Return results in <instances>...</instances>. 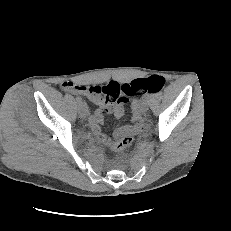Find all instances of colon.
<instances>
[{"label": "colon", "mask_w": 231, "mask_h": 231, "mask_svg": "<svg viewBox=\"0 0 231 231\" xmlns=\"http://www.w3.org/2000/svg\"><path fill=\"white\" fill-rule=\"evenodd\" d=\"M165 85V79L160 75H152L148 78H138L126 84H109L107 87L108 97L117 100L121 97L129 99L130 97L140 95L146 92H161ZM134 137L131 131L124 133L114 143L110 145V150L120 152L129 148L133 143Z\"/></svg>", "instance_id": "colon-1"}]
</instances>
